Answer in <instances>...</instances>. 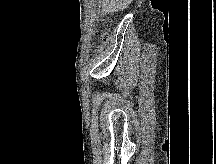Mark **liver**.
Masks as SVG:
<instances>
[{"label": "liver", "mask_w": 216, "mask_h": 164, "mask_svg": "<svg viewBox=\"0 0 216 164\" xmlns=\"http://www.w3.org/2000/svg\"><path fill=\"white\" fill-rule=\"evenodd\" d=\"M102 2V14L115 13L123 11L132 2V0H101Z\"/></svg>", "instance_id": "6515ba94"}]
</instances>
